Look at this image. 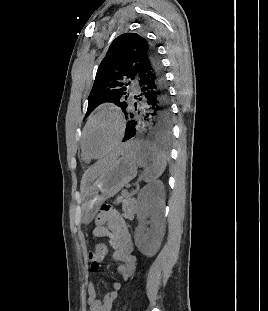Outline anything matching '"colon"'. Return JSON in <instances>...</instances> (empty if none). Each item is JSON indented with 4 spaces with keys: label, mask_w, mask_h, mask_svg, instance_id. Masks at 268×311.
<instances>
[{
    "label": "colon",
    "mask_w": 268,
    "mask_h": 311,
    "mask_svg": "<svg viewBox=\"0 0 268 311\" xmlns=\"http://www.w3.org/2000/svg\"><path fill=\"white\" fill-rule=\"evenodd\" d=\"M108 252V246L105 243L98 244L93 251L89 253L90 266L93 271L100 268Z\"/></svg>",
    "instance_id": "colon-1"
}]
</instances>
